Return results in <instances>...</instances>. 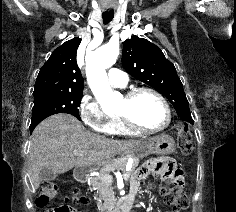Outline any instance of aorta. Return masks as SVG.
I'll return each instance as SVG.
<instances>
[{"instance_id":"762f6f07","label":"aorta","mask_w":236,"mask_h":212,"mask_svg":"<svg viewBox=\"0 0 236 212\" xmlns=\"http://www.w3.org/2000/svg\"><path fill=\"white\" fill-rule=\"evenodd\" d=\"M119 47L109 43L86 55V76L88 84L102 108L114 105L121 98L114 92L108 82L106 68L111 67L117 60Z\"/></svg>"}]
</instances>
